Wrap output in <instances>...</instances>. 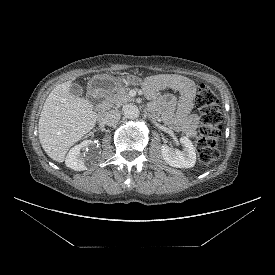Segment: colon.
<instances>
[{
    "label": "colon",
    "mask_w": 275,
    "mask_h": 275,
    "mask_svg": "<svg viewBox=\"0 0 275 275\" xmlns=\"http://www.w3.org/2000/svg\"><path fill=\"white\" fill-rule=\"evenodd\" d=\"M195 104L200 112L199 138L196 150L200 161L210 163L219 156L218 143L222 130V114L216 94L205 84H201L195 96Z\"/></svg>",
    "instance_id": "5ec220e1"
}]
</instances>
